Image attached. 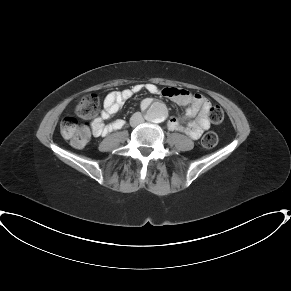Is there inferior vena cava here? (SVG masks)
I'll use <instances>...</instances> for the list:
<instances>
[{"mask_svg":"<svg viewBox=\"0 0 291 291\" xmlns=\"http://www.w3.org/2000/svg\"><path fill=\"white\" fill-rule=\"evenodd\" d=\"M143 122H144V118L140 112L134 113L130 118V125L132 127H136Z\"/></svg>","mask_w":291,"mask_h":291,"instance_id":"inferior-vena-cava-1","label":"inferior vena cava"}]
</instances>
